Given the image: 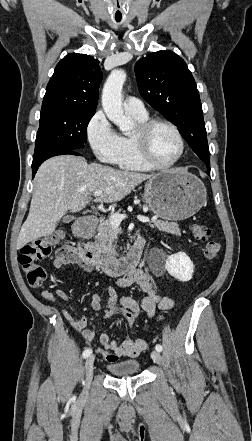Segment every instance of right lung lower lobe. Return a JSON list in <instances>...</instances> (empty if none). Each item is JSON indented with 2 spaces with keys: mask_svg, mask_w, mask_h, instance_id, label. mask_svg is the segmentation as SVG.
I'll return each mask as SVG.
<instances>
[{
  "mask_svg": "<svg viewBox=\"0 0 252 441\" xmlns=\"http://www.w3.org/2000/svg\"><path fill=\"white\" fill-rule=\"evenodd\" d=\"M63 154L80 155L79 153H77L76 150H68V151H63V152H59V153H56V154H52V155H50V156H48V157H46V158H44V159H42V160H40V161H38V162H34V163H32V176H33V177L35 176V174H36V172H37L39 166H40L45 160H47V159L50 158V157L57 156V155H63Z\"/></svg>",
  "mask_w": 252,
  "mask_h": 441,
  "instance_id": "1",
  "label": "right lung lower lobe"
}]
</instances>
